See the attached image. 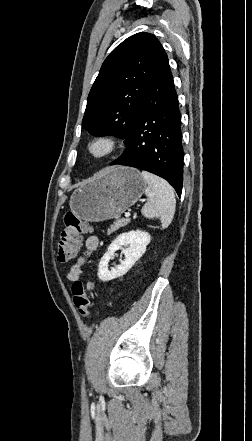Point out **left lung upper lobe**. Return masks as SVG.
Returning <instances> with one entry per match:
<instances>
[{
    "mask_svg": "<svg viewBox=\"0 0 252 441\" xmlns=\"http://www.w3.org/2000/svg\"><path fill=\"white\" fill-rule=\"evenodd\" d=\"M163 51L150 33H138L106 58L90 90L82 126L96 136L114 135L127 144Z\"/></svg>",
    "mask_w": 252,
    "mask_h": 441,
    "instance_id": "5c2ea615",
    "label": "left lung upper lobe"
}]
</instances>
